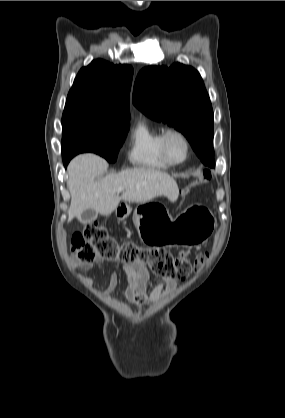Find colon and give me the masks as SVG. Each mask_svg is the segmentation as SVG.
Listing matches in <instances>:
<instances>
[{"mask_svg":"<svg viewBox=\"0 0 285 418\" xmlns=\"http://www.w3.org/2000/svg\"><path fill=\"white\" fill-rule=\"evenodd\" d=\"M202 177L209 181L212 174L204 171ZM70 249L77 261L84 265L93 264L97 257L119 259L124 264L146 263L155 275L172 279L186 278L192 269H201L208 259V253H202L191 263L184 252L174 257L165 250L139 247L132 242L121 243L102 225L95 223L73 233Z\"/></svg>","mask_w":285,"mask_h":418,"instance_id":"1","label":"colon"}]
</instances>
